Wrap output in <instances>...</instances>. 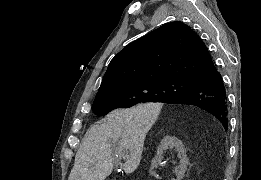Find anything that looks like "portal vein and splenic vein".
<instances>
[{
    "mask_svg": "<svg viewBox=\"0 0 261 180\" xmlns=\"http://www.w3.org/2000/svg\"><path fill=\"white\" fill-rule=\"evenodd\" d=\"M124 150H128V148H124ZM124 154H125V152H124Z\"/></svg>",
    "mask_w": 261,
    "mask_h": 180,
    "instance_id": "obj_1",
    "label": "portal vein and splenic vein"
}]
</instances>
